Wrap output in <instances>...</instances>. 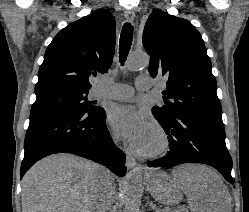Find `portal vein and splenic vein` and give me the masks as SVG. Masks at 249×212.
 Instances as JSON below:
<instances>
[{
    "label": "portal vein and splenic vein",
    "instance_id": "portal-vein-and-splenic-vein-1",
    "mask_svg": "<svg viewBox=\"0 0 249 212\" xmlns=\"http://www.w3.org/2000/svg\"><path fill=\"white\" fill-rule=\"evenodd\" d=\"M170 212H176V210H170Z\"/></svg>",
    "mask_w": 249,
    "mask_h": 212
}]
</instances>
